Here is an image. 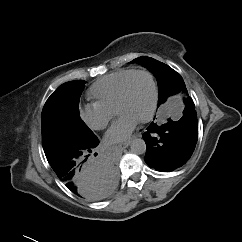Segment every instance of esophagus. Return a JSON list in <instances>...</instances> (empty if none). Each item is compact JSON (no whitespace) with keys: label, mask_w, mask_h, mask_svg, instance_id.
Masks as SVG:
<instances>
[{"label":"esophagus","mask_w":242,"mask_h":242,"mask_svg":"<svg viewBox=\"0 0 242 242\" xmlns=\"http://www.w3.org/2000/svg\"><path fill=\"white\" fill-rule=\"evenodd\" d=\"M130 141H127V142H124V143H121L120 145H119V147L121 148V149H125V148H127L129 145H130Z\"/></svg>","instance_id":"1"}]
</instances>
